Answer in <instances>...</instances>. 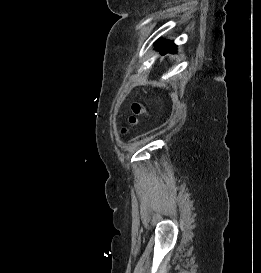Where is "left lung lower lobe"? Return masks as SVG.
I'll use <instances>...</instances> for the list:
<instances>
[{
  "instance_id": "0a47b994",
  "label": "left lung lower lobe",
  "mask_w": 261,
  "mask_h": 273,
  "mask_svg": "<svg viewBox=\"0 0 261 273\" xmlns=\"http://www.w3.org/2000/svg\"><path fill=\"white\" fill-rule=\"evenodd\" d=\"M156 46H159L161 48L162 54H166L168 52L174 53L176 51V46L171 41L159 40L156 43Z\"/></svg>"
}]
</instances>
